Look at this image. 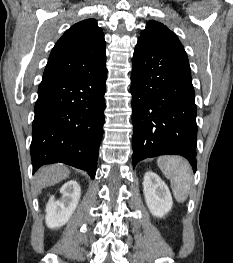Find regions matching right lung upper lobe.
I'll list each match as a JSON object with an SVG mask.
<instances>
[{
    "label": "right lung upper lobe",
    "mask_w": 233,
    "mask_h": 263,
    "mask_svg": "<svg viewBox=\"0 0 233 263\" xmlns=\"http://www.w3.org/2000/svg\"><path fill=\"white\" fill-rule=\"evenodd\" d=\"M106 43L95 19L69 28L53 47L42 81L86 76L106 59Z\"/></svg>",
    "instance_id": "cb5924a9"
}]
</instances>
